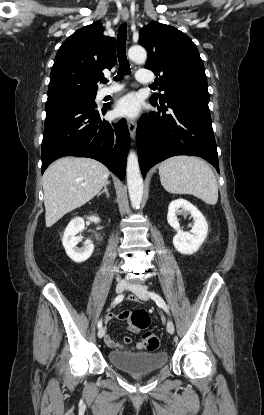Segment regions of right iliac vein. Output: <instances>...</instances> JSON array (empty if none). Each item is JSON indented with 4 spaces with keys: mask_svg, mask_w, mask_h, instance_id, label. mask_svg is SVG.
Listing matches in <instances>:
<instances>
[{
    "mask_svg": "<svg viewBox=\"0 0 264 415\" xmlns=\"http://www.w3.org/2000/svg\"><path fill=\"white\" fill-rule=\"evenodd\" d=\"M126 287H127V282L125 280H121L116 285V292L118 294L119 293H122L125 290ZM97 335H98L99 338H102L105 335V328L104 327H101L98 330V334Z\"/></svg>",
    "mask_w": 264,
    "mask_h": 415,
    "instance_id": "obj_1",
    "label": "right iliac vein"
}]
</instances>
